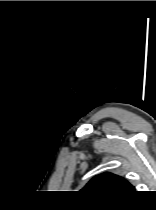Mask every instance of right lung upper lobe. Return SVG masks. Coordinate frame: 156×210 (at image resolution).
Returning a JSON list of instances; mask_svg holds the SVG:
<instances>
[{
  "instance_id": "cb5924a9",
  "label": "right lung upper lobe",
  "mask_w": 156,
  "mask_h": 210,
  "mask_svg": "<svg viewBox=\"0 0 156 210\" xmlns=\"http://www.w3.org/2000/svg\"><path fill=\"white\" fill-rule=\"evenodd\" d=\"M82 191L92 195L122 196L133 193L135 189L123 177L103 173L94 177Z\"/></svg>"
}]
</instances>
